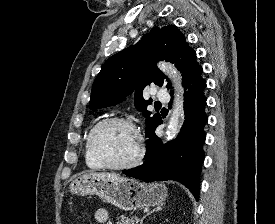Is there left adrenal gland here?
Segmentation results:
<instances>
[{
    "label": "left adrenal gland",
    "instance_id": "obj_1",
    "mask_svg": "<svg viewBox=\"0 0 275 224\" xmlns=\"http://www.w3.org/2000/svg\"><path fill=\"white\" fill-rule=\"evenodd\" d=\"M160 210H162V206H158V207H156L155 209H153L150 213H148L146 216H144V217L141 219L140 224L143 223L144 219H145L148 215H150V214H152V213H154V212L160 211Z\"/></svg>",
    "mask_w": 275,
    "mask_h": 224
}]
</instances>
